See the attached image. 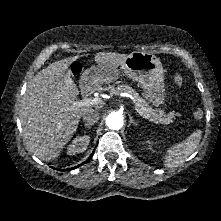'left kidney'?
I'll use <instances>...</instances> for the list:
<instances>
[{"mask_svg": "<svg viewBox=\"0 0 221 221\" xmlns=\"http://www.w3.org/2000/svg\"><path fill=\"white\" fill-rule=\"evenodd\" d=\"M149 144H150V143H149ZM148 148L151 149V148H152L151 145H148Z\"/></svg>", "mask_w": 221, "mask_h": 221, "instance_id": "obj_1", "label": "left kidney"}]
</instances>
